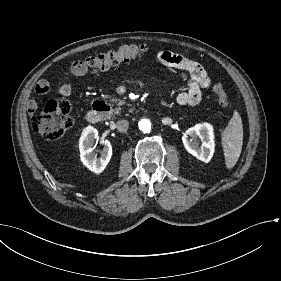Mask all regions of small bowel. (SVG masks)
<instances>
[{
    "instance_id": "obj_1",
    "label": "small bowel",
    "mask_w": 281,
    "mask_h": 281,
    "mask_svg": "<svg viewBox=\"0 0 281 281\" xmlns=\"http://www.w3.org/2000/svg\"><path fill=\"white\" fill-rule=\"evenodd\" d=\"M157 63L168 67L180 70L189 75L188 83L183 91L177 96V103L180 106H193L199 103L202 97V91L209 88L211 80L208 76L205 66L199 61L172 51H162L157 56ZM87 67L84 62H75L65 79L58 87V93L62 96L70 95L72 86L69 78L71 76L82 77L86 75ZM51 86L47 80L40 79L34 83L32 89L27 93L29 100L27 109L30 114L37 109V103L48 95Z\"/></svg>"
}]
</instances>
